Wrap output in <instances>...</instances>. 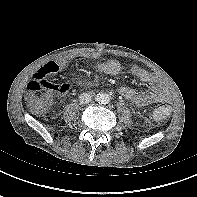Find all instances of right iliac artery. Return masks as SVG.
I'll return each mask as SVG.
<instances>
[{"instance_id":"82829eb1","label":"right iliac artery","mask_w":197,"mask_h":197,"mask_svg":"<svg viewBox=\"0 0 197 197\" xmlns=\"http://www.w3.org/2000/svg\"><path fill=\"white\" fill-rule=\"evenodd\" d=\"M100 95V96H99ZM101 98H102V95L99 93V94H97V98H96V100L97 101H100L101 100ZM100 103V102H99Z\"/></svg>"}]
</instances>
